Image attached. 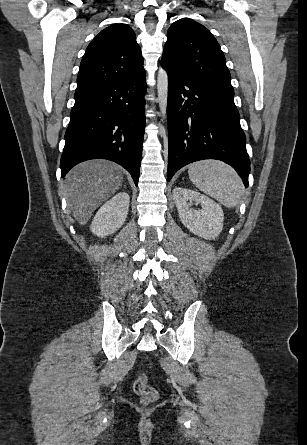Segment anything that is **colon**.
<instances>
[{"label":"colon","instance_id":"5ec220e1","mask_svg":"<svg viewBox=\"0 0 307 445\" xmlns=\"http://www.w3.org/2000/svg\"><path fill=\"white\" fill-rule=\"evenodd\" d=\"M134 391L144 404H151L158 398V393L153 388L145 374H140L134 382Z\"/></svg>","mask_w":307,"mask_h":445}]
</instances>
